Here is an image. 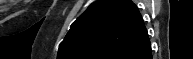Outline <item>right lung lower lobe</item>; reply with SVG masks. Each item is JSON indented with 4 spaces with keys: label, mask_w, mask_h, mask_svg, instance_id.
Returning a JSON list of instances; mask_svg holds the SVG:
<instances>
[{
    "label": "right lung lower lobe",
    "mask_w": 193,
    "mask_h": 59,
    "mask_svg": "<svg viewBox=\"0 0 193 59\" xmlns=\"http://www.w3.org/2000/svg\"><path fill=\"white\" fill-rule=\"evenodd\" d=\"M127 59H152L150 42L127 57Z\"/></svg>",
    "instance_id": "1"
}]
</instances>
